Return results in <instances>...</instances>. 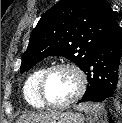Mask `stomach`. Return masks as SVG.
Masks as SVG:
<instances>
[{"label":"stomach","mask_w":122,"mask_h":123,"mask_svg":"<svg viewBox=\"0 0 122 123\" xmlns=\"http://www.w3.org/2000/svg\"><path fill=\"white\" fill-rule=\"evenodd\" d=\"M45 123H84V116L71 111H55L51 112L49 120Z\"/></svg>","instance_id":"stomach-1"}]
</instances>
